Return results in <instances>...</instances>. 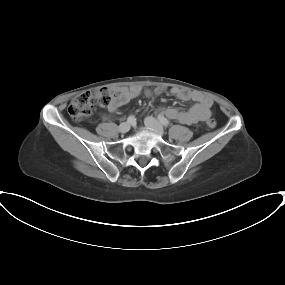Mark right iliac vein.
I'll use <instances>...</instances> for the list:
<instances>
[{
	"label": "right iliac vein",
	"instance_id": "63e3f726",
	"mask_svg": "<svg viewBox=\"0 0 285 285\" xmlns=\"http://www.w3.org/2000/svg\"><path fill=\"white\" fill-rule=\"evenodd\" d=\"M119 132L127 133L130 130V124L128 122H123L118 127Z\"/></svg>",
	"mask_w": 285,
	"mask_h": 285
}]
</instances>
